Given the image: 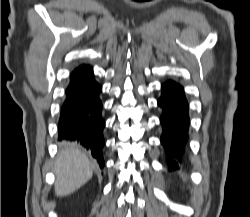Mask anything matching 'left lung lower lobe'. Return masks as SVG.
I'll return each mask as SVG.
<instances>
[{"mask_svg": "<svg viewBox=\"0 0 250 217\" xmlns=\"http://www.w3.org/2000/svg\"><path fill=\"white\" fill-rule=\"evenodd\" d=\"M163 113L160 122L163 126L161 142L166 154L180 157L188 139V103L183 88L176 82L169 80L162 84V96L158 100ZM169 169L176 168L177 163L168 159Z\"/></svg>", "mask_w": 250, "mask_h": 217, "instance_id": "left-lung-lower-lobe-1", "label": "left lung lower lobe"}]
</instances>
